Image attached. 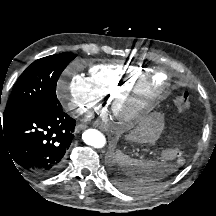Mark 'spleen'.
Instances as JSON below:
<instances>
[{
    "instance_id": "3e777b00",
    "label": "spleen",
    "mask_w": 216,
    "mask_h": 216,
    "mask_svg": "<svg viewBox=\"0 0 216 216\" xmlns=\"http://www.w3.org/2000/svg\"><path fill=\"white\" fill-rule=\"evenodd\" d=\"M116 162L139 187L158 181L175 170L170 164L133 159L121 151L116 152Z\"/></svg>"
}]
</instances>
